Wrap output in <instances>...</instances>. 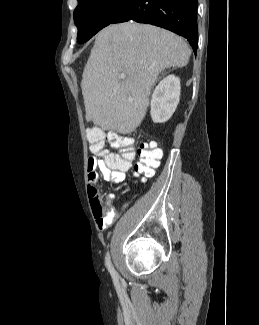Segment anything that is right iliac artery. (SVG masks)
I'll use <instances>...</instances> for the list:
<instances>
[{
  "mask_svg": "<svg viewBox=\"0 0 259 325\" xmlns=\"http://www.w3.org/2000/svg\"><path fill=\"white\" fill-rule=\"evenodd\" d=\"M105 263H106V267L108 268L112 278L117 281L118 280V273L116 272V270L114 269L112 263H111V260H110V255L109 253L107 252L106 254V257H105Z\"/></svg>",
  "mask_w": 259,
  "mask_h": 325,
  "instance_id": "right-iliac-artery-1",
  "label": "right iliac artery"
}]
</instances>
